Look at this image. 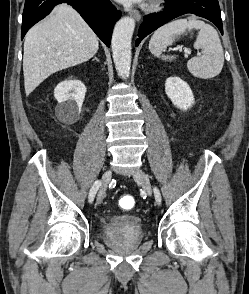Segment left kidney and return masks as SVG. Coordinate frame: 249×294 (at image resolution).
Listing matches in <instances>:
<instances>
[{
    "label": "left kidney",
    "mask_w": 249,
    "mask_h": 294,
    "mask_svg": "<svg viewBox=\"0 0 249 294\" xmlns=\"http://www.w3.org/2000/svg\"><path fill=\"white\" fill-rule=\"evenodd\" d=\"M165 92L171 102L181 110L194 104V95L189 85L179 77H169L165 82Z\"/></svg>",
    "instance_id": "5707ae66"
}]
</instances>
